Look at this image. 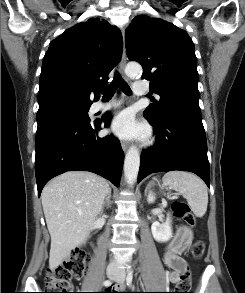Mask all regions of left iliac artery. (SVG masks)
Segmentation results:
<instances>
[{
  "label": "left iliac artery",
  "instance_id": "1",
  "mask_svg": "<svg viewBox=\"0 0 245 293\" xmlns=\"http://www.w3.org/2000/svg\"><path fill=\"white\" fill-rule=\"evenodd\" d=\"M132 279H133V271L130 270V271H128V275H127V278H126V281H127V285L128 286H131Z\"/></svg>",
  "mask_w": 245,
  "mask_h": 293
}]
</instances>
